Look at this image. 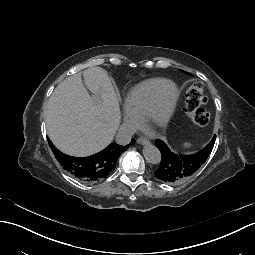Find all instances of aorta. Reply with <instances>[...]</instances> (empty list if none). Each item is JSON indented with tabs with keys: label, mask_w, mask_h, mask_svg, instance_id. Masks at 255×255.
Segmentation results:
<instances>
[{
	"label": "aorta",
	"mask_w": 255,
	"mask_h": 255,
	"mask_svg": "<svg viewBox=\"0 0 255 255\" xmlns=\"http://www.w3.org/2000/svg\"><path fill=\"white\" fill-rule=\"evenodd\" d=\"M145 159L151 164H159L161 161V153L158 148L152 144H147L143 148Z\"/></svg>",
	"instance_id": "1"
}]
</instances>
